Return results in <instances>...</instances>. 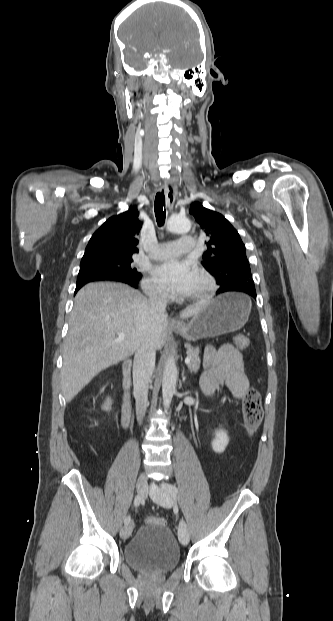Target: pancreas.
<instances>
[{"instance_id":"cf45deb5","label":"pancreas","mask_w":333,"mask_h":621,"mask_svg":"<svg viewBox=\"0 0 333 621\" xmlns=\"http://www.w3.org/2000/svg\"><path fill=\"white\" fill-rule=\"evenodd\" d=\"M185 347L187 348V356L191 359V362L188 364V368L192 372H197L200 367V349L199 347H193L190 344H185Z\"/></svg>"}]
</instances>
